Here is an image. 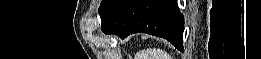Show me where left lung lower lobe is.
Listing matches in <instances>:
<instances>
[{
    "label": "left lung lower lobe",
    "mask_w": 261,
    "mask_h": 59,
    "mask_svg": "<svg viewBox=\"0 0 261 59\" xmlns=\"http://www.w3.org/2000/svg\"><path fill=\"white\" fill-rule=\"evenodd\" d=\"M101 29L121 38L148 33L170 41L183 51L184 19L176 0H120L102 20Z\"/></svg>",
    "instance_id": "left-lung-lower-lobe-1"
}]
</instances>
